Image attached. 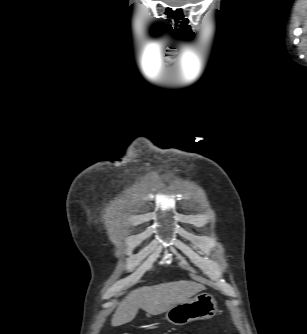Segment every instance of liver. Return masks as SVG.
Masks as SVG:
<instances>
[{
    "mask_svg": "<svg viewBox=\"0 0 307 334\" xmlns=\"http://www.w3.org/2000/svg\"><path fill=\"white\" fill-rule=\"evenodd\" d=\"M203 290L204 285L193 281H174L135 289L119 303L111 325L116 327L132 321L139 308L151 315L164 313Z\"/></svg>",
    "mask_w": 307,
    "mask_h": 334,
    "instance_id": "6515ba94",
    "label": "liver"
}]
</instances>
